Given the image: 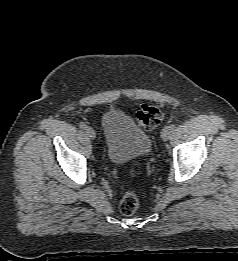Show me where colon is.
Listing matches in <instances>:
<instances>
[{
	"label": "colon",
	"instance_id": "obj_1",
	"mask_svg": "<svg viewBox=\"0 0 238 261\" xmlns=\"http://www.w3.org/2000/svg\"><path fill=\"white\" fill-rule=\"evenodd\" d=\"M139 124L146 130L155 129L161 121V109L156 105L144 104L137 113ZM140 171L138 163L132 164V176L136 177ZM140 205V195L136 190H128L120 201V211L124 215H132Z\"/></svg>",
	"mask_w": 238,
	"mask_h": 261
}]
</instances>
